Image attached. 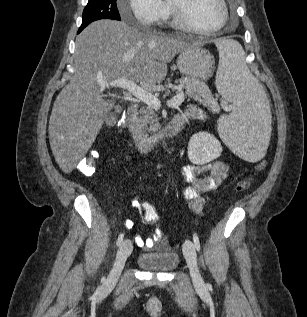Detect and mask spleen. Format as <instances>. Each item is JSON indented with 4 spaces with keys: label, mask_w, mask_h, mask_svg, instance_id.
Instances as JSON below:
<instances>
[{
    "label": "spleen",
    "mask_w": 307,
    "mask_h": 317,
    "mask_svg": "<svg viewBox=\"0 0 307 317\" xmlns=\"http://www.w3.org/2000/svg\"><path fill=\"white\" fill-rule=\"evenodd\" d=\"M219 51L216 87L233 104V112L218 121L221 139L240 160H261L271 139L272 106L266 86L250 73L244 50L237 40H212Z\"/></svg>",
    "instance_id": "3e777b00"
}]
</instances>
